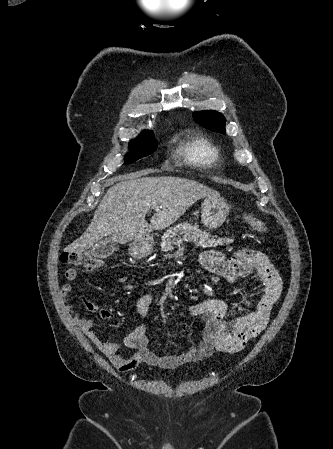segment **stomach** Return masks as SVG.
Wrapping results in <instances>:
<instances>
[{
  "label": "stomach",
  "instance_id": "stomach-1",
  "mask_svg": "<svg viewBox=\"0 0 333 449\" xmlns=\"http://www.w3.org/2000/svg\"><path fill=\"white\" fill-rule=\"evenodd\" d=\"M230 212V206L220 196L207 197L202 203L201 222L209 229L217 228L223 224ZM153 249V241L145 239L135 240L130 246V254L133 257L148 256Z\"/></svg>",
  "mask_w": 333,
  "mask_h": 449
}]
</instances>
